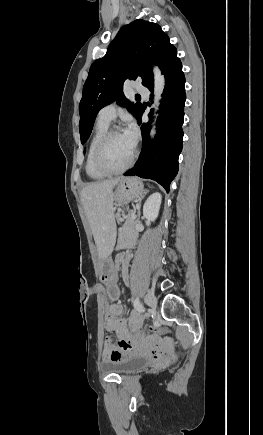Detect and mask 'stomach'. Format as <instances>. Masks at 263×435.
<instances>
[{
  "label": "stomach",
  "mask_w": 263,
  "mask_h": 435,
  "mask_svg": "<svg viewBox=\"0 0 263 435\" xmlns=\"http://www.w3.org/2000/svg\"><path fill=\"white\" fill-rule=\"evenodd\" d=\"M144 191L143 183L137 178H122L113 193L115 204L124 205L140 196ZM107 299L112 305H117L122 299L124 287L119 285L121 272L119 268H113L108 259L101 262Z\"/></svg>",
  "instance_id": "0dacf381"
}]
</instances>
